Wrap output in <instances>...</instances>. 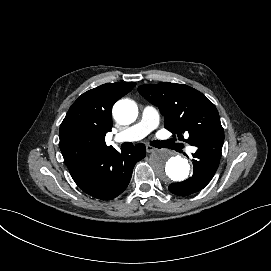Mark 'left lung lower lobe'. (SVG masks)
<instances>
[{
	"label": "left lung lower lobe",
	"instance_id": "left-lung-lower-lobe-1",
	"mask_svg": "<svg viewBox=\"0 0 271 271\" xmlns=\"http://www.w3.org/2000/svg\"><path fill=\"white\" fill-rule=\"evenodd\" d=\"M197 151L193 154L194 173L184 182L172 183L169 191L175 195L188 196L203 189L214 176L221 155L211 153L206 148L197 146Z\"/></svg>",
	"mask_w": 271,
	"mask_h": 271
}]
</instances>
